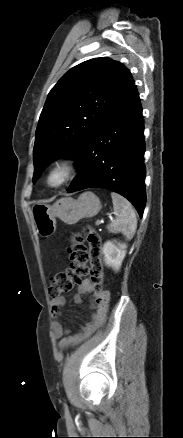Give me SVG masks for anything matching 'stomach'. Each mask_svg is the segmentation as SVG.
Returning a JSON list of instances; mask_svg holds the SVG:
<instances>
[{
    "instance_id": "1",
    "label": "stomach",
    "mask_w": 183,
    "mask_h": 438,
    "mask_svg": "<svg viewBox=\"0 0 183 438\" xmlns=\"http://www.w3.org/2000/svg\"><path fill=\"white\" fill-rule=\"evenodd\" d=\"M100 209L99 198L92 192H85L77 200L65 197L56 201L52 206L36 203L32 206L30 214L37 233L47 238L56 231V218L68 225H73L82 218L94 217Z\"/></svg>"
}]
</instances>
